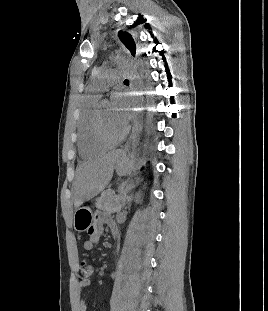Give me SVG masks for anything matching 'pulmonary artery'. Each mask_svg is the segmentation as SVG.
I'll return each instance as SVG.
<instances>
[{
  "mask_svg": "<svg viewBox=\"0 0 268 311\" xmlns=\"http://www.w3.org/2000/svg\"><path fill=\"white\" fill-rule=\"evenodd\" d=\"M126 77V72L122 70H112L104 72L96 77L90 86V90L97 95L114 83L121 82Z\"/></svg>",
  "mask_w": 268,
  "mask_h": 311,
  "instance_id": "1",
  "label": "pulmonary artery"
}]
</instances>
